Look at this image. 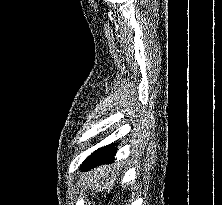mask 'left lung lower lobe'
<instances>
[{
  "mask_svg": "<svg viewBox=\"0 0 222 205\" xmlns=\"http://www.w3.org/2000/svg\"><path fill=\"white\" fill-rule=\"evenodd\" d=\"M116 154V147L114 145H107L94 151L82 163L81 170L88 171L100 165L112 163Z\"/></svg>",
  "mask_w": 222,
  "mask_h": 205,
  "instance_id": "1",
  "label": "left lung lower lobe"
}]
</instances>
